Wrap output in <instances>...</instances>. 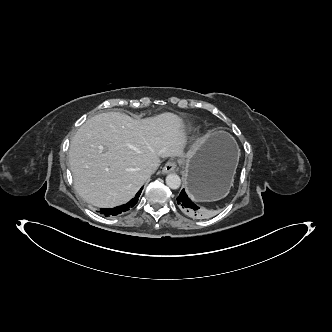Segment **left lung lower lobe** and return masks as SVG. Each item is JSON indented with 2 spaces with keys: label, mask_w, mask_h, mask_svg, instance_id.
<instances>
[{
  "label": "left lung lower lobe",
  "mask_w": 332,
  "mask_h": 332,
  "mask_svg": "<svg viewBox=\"0 0 332 332\" xmlns=\"http://www.w3.org/2000/svg\"><path fill=\"white\" fill-rule=\"evenodd\" d=\"M177 203L180 205V208L189 216L196 219H203L207 217L205 211L200 210L187 196L185 190L183 189L179 196L177 197Z\"/></svg>",
  "instance_id": "1"
}]
</instances>
